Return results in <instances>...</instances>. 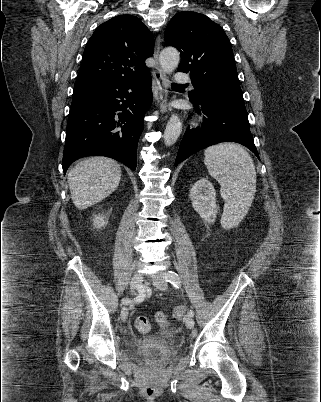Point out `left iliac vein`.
<instances>
[{"instance_id": "1", "label": "left iliac vein", "mask_w": 321, "mask_h": 402, "mask_svg": "<svg viewBox=\"0 0 321 402\" xmlns=\"http://www.w3.org/2000/svg\"><path fill=\"white\" fill-rule=\"evenodd\" d=\"M165 273L166 272H160V273L156 274L155 277H154V281H153L154 285L158 289L163 290V291H165L167 289V286H168L167 282H166V279H165ZM185 324H186V326L188 328H190V329L193 328L194 327L193 318L189 317V316L186 317L185 318Z\"/></svg>"}]
</instances>
